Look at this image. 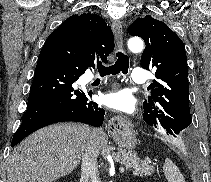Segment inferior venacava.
<instances>
[{
    "label": "inferior vena cava",
    "mask_w": 211,
    "mask_h": 182,
    "mask_svg": "<svg viewBox=\"0 0 211 182\" xmlns=\"http://www.w3.org/2000/svg\"><path fill=\"white\" fill-rule=\"evenodd\" d=\"M98 155V151L94 146L93 135H91L82 156L81 182H99L97 169Z\"/></svg>",
    "instance_id": "602c4592"
}]
</instances>
